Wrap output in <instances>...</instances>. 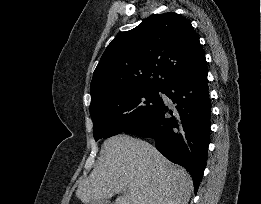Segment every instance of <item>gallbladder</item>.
<instances>
[{
  "label": "gallbladder",
  "mask_w": 261,
  "mask_h": 204,
  "mask_svg": "<svg viewBox=\"0 0 261 204\" xmlns=\"http://www.w3.org/2000/svg\"><path fill=\"white\" fill-rule=\"evenodd\" d=\"M90 204H111V202L108 199L92 200Z\"/></svg>",
  "instance_id": "gallbladder-1"
}]
</instances>
